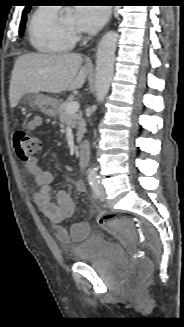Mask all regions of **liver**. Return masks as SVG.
I'll use <instances>...</instances> for the list:
<instances>
[{"label":"liver","mask_w":184,"mask_h":327,"mask_svg":"<svg viewBox=\"0 0 184 327\" xmlns=\"http://www.w3.org/2000/svg\"><path fill=\"white\" fill-rule=\"evenodd\" d=\"M82 56L76 53H28L17 58L11 75L9 100L17 106L24 94L61 93L80 89L87 78Z\"/></svg>","instance_id":"6515ba94"}]
</instances>
